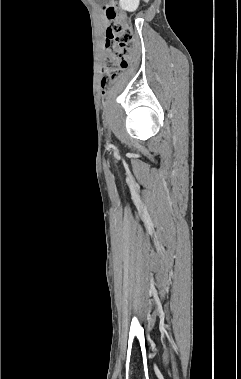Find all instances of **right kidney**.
I'll return each instance as SVG.
<instances>
[{"label": "right kidney", "instance_id": "right-kidney-1", "mask_svg": "<svg viewBox=\"0 0 241 379\" xmlns=\"http://www.w3.org/2000/svg\"><path fill=\"white\" fill-rule=\"evenodd\" d=\"M119 4L123 10L133 12L138 8L139 0H120Z\"/></svg>", "mask_w": 241, "mask_h": 379}]
</instances>
